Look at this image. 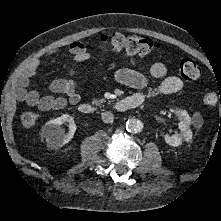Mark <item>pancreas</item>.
Instances as JSON below:
<instances>
[{
	"label": "pancreas",
	"mask_w": 221,
	"mask_h": 221,
	"mask_svg": "<svg viewBox=\"0 0 221 221\" xmlns=\"http://www.w3.org/2000/svg\"><path fill=\"white\" fill-rule=\"evenodd\" d=\"M104 102H105V99H100V100L94 99V100L92 101V104L95 105V106H97V107H101L102 103H104Z\"/></svg>",
	"instance_id": "pancreas-1"
}]
</instances>
